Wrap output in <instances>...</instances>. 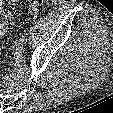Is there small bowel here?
<instances>
[{"label": "small bowel", "instance_id": "1", "mask_svg": "<svg viewBox=\"0 0 113 113\" xmlns=\"http://www.w3.org/2000/svg\"><path fill=\"white\" fill-rule=\"evenodd\" d=\"M13 1H15V0H13ZM4 3H5V0H0V18H1V20L2 19L4 20V24H5V25H3V28L6 26L8 21L14 20L13 13L9 10L4 9ZM2 33H3V29L0 27V39H1Z\"/></svg>", "mask_w": 113, "mask_h": 113}]
</instances>
